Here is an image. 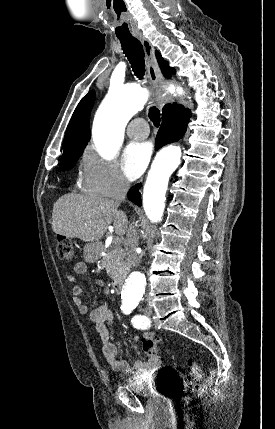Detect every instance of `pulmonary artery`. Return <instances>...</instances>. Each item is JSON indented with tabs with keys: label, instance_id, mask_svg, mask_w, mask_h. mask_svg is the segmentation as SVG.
<instances>
[{
	"label": "pulmonary artery",
	"instance_id": "e3ab8cb5",
	"mask_svg": "<svg viewBox=\"0 0 275 429\" xmlns=\"http://www.w3.org/2000/svg\"><path fill=\"white\" fill-rule=\"evenodd\" d=\"M127 134L135 140L145 139L149 134L147 122L143 118L132 120L127 127Z\"/></svg>",
	"mask_w": 275,
	"mask_h": 429
}]
</instances>
